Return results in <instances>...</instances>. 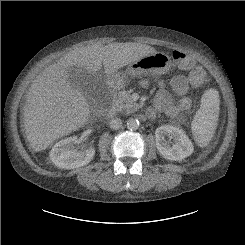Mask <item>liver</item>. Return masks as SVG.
<instances>
[{
	"instance_id": "1",
	"label": "liver",
	"mask_w": 245,
	"mask_h": 245,
	"mask_svg": "<svg viewBox=\"0 0 245 245\" xmlns=\"http://www.w3.org/2000/svg\"><path fill=\"white\" fill-rule=\"evenodd\" d=\"M157 51L135 42L93 44L74 49L57 64L46 68L32 83L24 107L27 140L35 151L48 146L89 121L90 106L86 97L75 89L68 77L70 67L97 74L104 67L112 74Z\"/></svg>"
}]
</instances>
